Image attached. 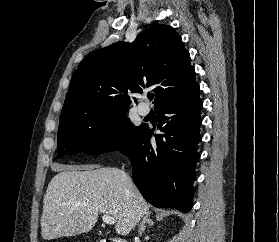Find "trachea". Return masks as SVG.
Segmentation results:
<instances>
[{"mask_svg": "<svg viewBox=\"0 0 279 242\" xmlns=\"http://www.w3.org/2000/svg\"><path fill=\"white\" fill-rule=\"evenodd\" d=\"M153 98H154V95H148L149 100H153Z\"/></svg>", "mask_w": 279, "mask_h": 242, "instance_id": "trachea-1", "label": "trachea"}]
</instances>
